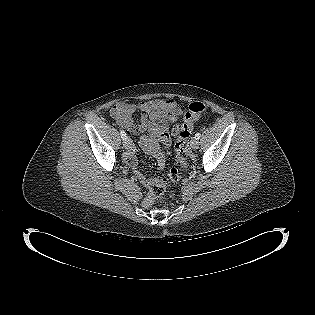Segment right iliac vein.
I'll return each instance as SVG.
<instances>
[{
    "instance_id": "1",
    "label": "right iliac vein",
    "mask_w": 315,
    "mask_h": 315,
    "mask_svg": "<svg viewBox=\"0 0 315 315\" xmlns=\"http://www.w3.org/2000/svg\"><path fill=\"white\" fill-rule=\"evenodd\" d=\"M124 147L127 149V150H130L132 147H133V142L130 138H126L124 140Z\"/></svg>"
}]
</instances>
